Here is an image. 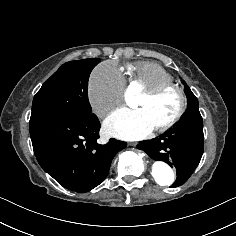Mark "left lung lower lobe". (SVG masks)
Here are the masks:
<instances>
[{"instance_id": "obj_1", "label": "left lung lower lobe", "mask_w": 236, "mask_h": 236, "mask_svg": "<svg viewBox=\"0 0 236 236\" xmlns=\"http://www.w3.org/2000/svg\"><path fill=\"white\" fill-rule=\"evenodd\" d=\"M203 122L179 121L175 127L152 140L141 141L138 149L152 159L176 168L177 178L172 188L184 184L198 166L203 154Z\"/></svg>"}]
</instances>
